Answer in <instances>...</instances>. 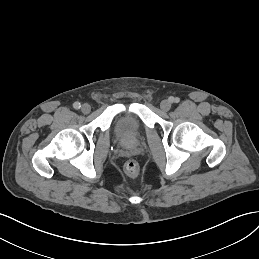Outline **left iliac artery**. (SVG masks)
<instances>
[{
  "label": "left iliac artery",
  "instance_id": "left-iliac-artery-1",
  "mask_svg": "<svg viewBox=\"0 0 259 259\" xmlns=\"http://www.w3.org/2000/svg\"><path fill=\"white\" fill-rule=\"evenodd\" d=\"M180 99L178 97H170V102L172 103H178Z\"/></svg>",
  "mask_w": 259,
  "mask_h": 259
}]
</instances>
